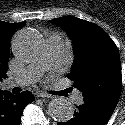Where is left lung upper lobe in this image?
I'll return each mask as SVG.
<instances>
[{
  "mask_svg": "<svg viewBox=\"0 0 125 125\" xmlns=\"http://www.w3.org/2000/svg\"><path fill=\"white\" fill-rule=\"evenodd\" d=\"M50 22L60 25L72 38L75 61L67 75L82 92L84 103L116 107L122 89L121 63L117 46L96 24L74 16Z\"/></svg>",
  "mask_w": 125,
  "mask_h": 125,
  "instance_id": "5c2ea615",
  "label": "left lung upper lobe"
}]
</instances>
